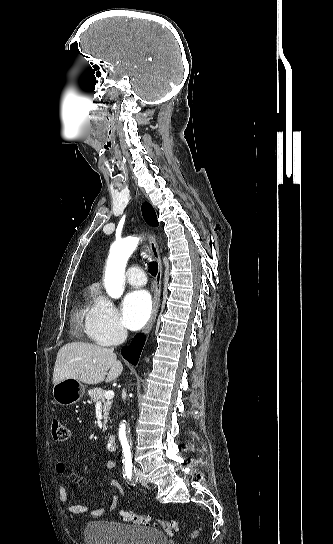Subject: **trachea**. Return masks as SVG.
<instances>
[{"instance_id": "obj_1", "label": "trachea", "mask_w": 333, "mask_h": 544, "mask_svg": "<svg viewBox=\"0 0 333 544\" xmlns=\"http://www.w3.org/2000/svg\"><path fill=\"white\" fill-rule=\"evenodd\" d=\"M149 270L152 276H156L158 271V263L156 262H150L149 263Z\"/></svg>"}]
</instances>
